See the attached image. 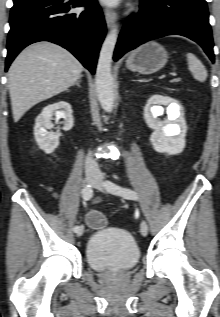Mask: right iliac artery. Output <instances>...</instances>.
I'll return each mask as SVG.
<instances>
[{
    "label": "right iliac artery",
    "mask_w": 220,
    "mask_h": 317,
    "mask_svg": "<svg viewBox=\"0 0 220 317\" xmlns=\"http://www.w3.org/2000/svg\"><path fill=\"white\" fill-rule=\"evenodd\" d=\"M92 187L91 185H86L83 189H82V197L84 199V201H88L90 200V198L92 197ZM81 226H75L73 228L74 232H77L80 229Z\"/></svg>",
    "instance_id": "obj_1"
}]
</instances>
